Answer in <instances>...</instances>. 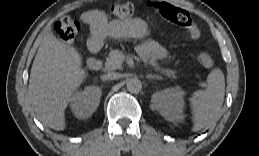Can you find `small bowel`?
I'll list each match as a JSON object with an SVG mask.
<instances>
[{
	"label": "small bowel",
	"mask_w": 259,
	"mask_h": 156,
	"mask_svg": "<svg viewBox=\"0 0 259 156\" xmlns=\"http://www.w3.org/2000/svg\"><path fill=\"white\" fill-rule=\"evenodd\" d=\"M82 20L89 25L91 30L89 46L95 41L101 45L106 38H143L149 33L148 24L143 19L127 18L109 21L100 10H89L83 13ZM150 46L157 57H166L167 52L163 47L156 43H152Z\"/></svg>",
	"instance_id": "obj_1"
}]
</instances>
